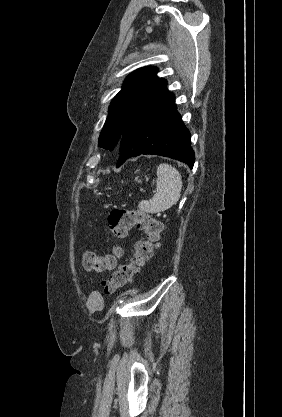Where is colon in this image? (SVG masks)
<instances>
[{
  "mask_svg": "<svg viewBox=\"0 0 282 417\" xmlns=\"http://www.w3.org/2000/svg\"><path fill=\"white\" fill-rule=\"evenodd\" d=\"M109 229L119 239L127 237L133 227H138L144 236L135 243L134 254L130 261L120 265L111 277L101 281L105 294L112 295L133 280L134 273L142 268L152 257L155 247L162 236V223L141 209L115 208L108 216ZM118 250L104 256L84 252L82 263L87 270L104 272L113 265Z\"/></svg>",
  "mask_w": 282,
  "mask_h": 417,
  "instance_id": "obj_1",
  "label": "colon"
}]
</instances>
